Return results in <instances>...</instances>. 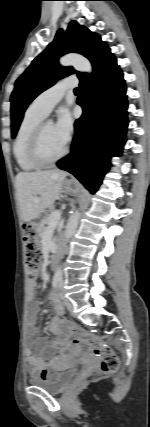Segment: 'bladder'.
<instances>
[{
  "label": "bladder",
  "instance_id": "bladder-1",
  "mask_svg": "<svg viewBox=\"0 0 150 427\" xmlns=\"http://www.w3.org/2000/svg\"><path fill=\"white\" fill-rule=\"evenodd\" d=\"M75 374L76 370L74 368L53 371L45 378L32 376L29 378V383L50 393H60L71 383Z\"/></svg>",
  "mask_w": 150,
  "mask_h": 427
}]
</instances>
